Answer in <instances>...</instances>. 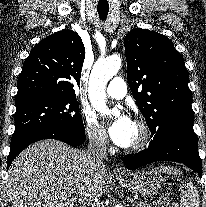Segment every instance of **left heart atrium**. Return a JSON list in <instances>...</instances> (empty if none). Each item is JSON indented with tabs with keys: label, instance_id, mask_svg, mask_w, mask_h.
Masks as SVG:
<instances>
[{
	"label": "left heart atrium",
	"instance_id": "39dd6f15",
	"mask_svg": "<svg viewBox=\"0 0 206 207\" xmlns=\"http://www.w3.org/2000/svg\"><path fill=\"white\" fill-rule=\"evenodd\" d=\"M134 122L128 115H122L109 127L112 141L120 147H128L132 141Z\"/></svg>",
	"mask_w": 206,
	"mask_h": 207
}]
</instances>
